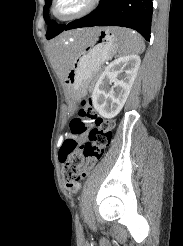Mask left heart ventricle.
<instances>
[{
  "label": "left heart ventricle",
  "instance_id": "obj_1",
  "mask_svg": "<svg viewBox=\"0 0 183 246\" xmlns=\"http://www.w3.org/2000/svg\"><path fill=\"white\" fill-rule=\"evenodd\" d=\"M87 0H59L57 13L61 16L73 14L83 8Z\"/></svg>",
  "mask_w": 183,
  "mask_h": 246
}]
</instances>
